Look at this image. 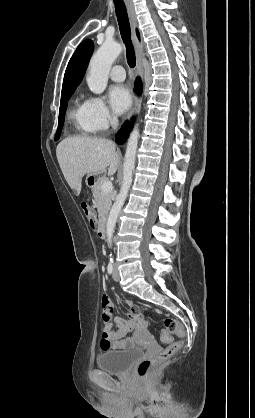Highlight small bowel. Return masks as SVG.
<instances>
[{
	"label": "small bowel",
	"mask_w": 255,
	"mask_h": 418,
	"mask_svg": "<svg viewBox=\"0 0 255 418\" xmlns=\"http://www.w3.org/2000/svg\"><path fill=\"white\" fill-rule=\"evenodd\" d=\"M103 304V319L107 321L108 315L112 312V304L104 296L102 300ZM127 305L130 307L128 318H115L114 323L105 322L103 326L102 337L100 340V347L103 351L110 349H125L134 344L135 339L133 337H127V334L134 332L136 337L145 338L148 336L147 323L143 318V315L138 309L130 302L127 301Z\"/></svg>",
	"instance_id": "obj_1"
}]
</instances>
